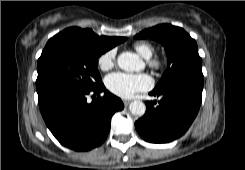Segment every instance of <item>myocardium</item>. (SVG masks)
Segmentation results:
<instances>
[{
    "label": "myocardium",
    "instance_id": "1",
    "mask_svg": "<svg viewBox=\"0 0 245 170\" xmlns=\"http://www.w3.org/2000/svg\"><path fill=\"white\" fill-rule=\"evenodd\" d=\"M147 63L150 67L154 69H160L163 66V60L158 56L147 59Z\"/></svg>",
    "mask_w": 245,
    "mask_h": 170
}]
</instances>
